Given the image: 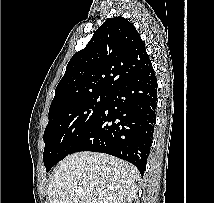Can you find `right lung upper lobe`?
I'll use <instances>...</instances> for the list:
<instances>
[{
    "label": "right lung upper lobe",
    "mask_w": 214,
    "mask_h": 203,
    "mask_svg": "<svg viewBox=\"0 0 214 203\" xmlns=\"http://www.w3.org/2000/svg\"><path fill=\"white\" fill-rule=\"evenodd\" d=\"M151 66L133 24L121 16L107 19L70 59L49 111L94 93H109Z\"/></svg>",
    "instance_id": "1"
}]
</instances>
